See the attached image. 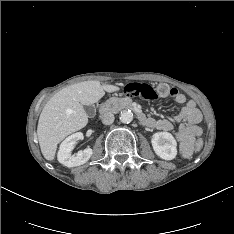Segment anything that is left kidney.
Masks as SVG:
<instances>
[{"label": "left kidney", "instance_id": "left-kidney-1", "mask_svg": "<svg viewBox=\"0 0 234 234\" xmlns=\"http://www.w3.org/2000/svg\"><path fill=\"white\" fill-rule=\"evenodd\" d=\"M152 147L157 156L164 160H173L177 155V142L169 132L154 133Z\"/></svg>", "mask_w": 234, "mask_h": 234}]
</instances>
